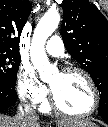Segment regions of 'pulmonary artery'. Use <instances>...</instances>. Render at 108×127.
I'll return each instance as SVG.
<instances>
[{
    "mask_svg": "<svg viewBox=\"0 0 108 127\" xmlns=\"http://www.w3.org/2000/svg\"><path fill=\"white\" fill-rule=\"evenodd\" d=\"M45 50L47 53L55 57L63 55L64 44L62 42V39L57 35L52 36L47 42Z\"/></svg>",
    "mask_w": 108,
    "mask_h": 127,
    "instance_id": "pulmonary-artery-1",
    "label": "pulmonary artery"
}]
</instances>
